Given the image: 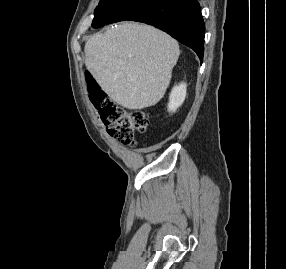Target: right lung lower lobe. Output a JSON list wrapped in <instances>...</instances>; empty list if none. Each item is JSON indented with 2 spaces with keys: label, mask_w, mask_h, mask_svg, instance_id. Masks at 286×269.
Segmentation results:
<instances>
[{
  "label": "right lung lower lobe",
  "mask_w": 286,
  "mask_h": 269,
  "mask_svg": "<svg viewBox=\"0 0 286 269\" xmlns=\"http://www.w3.org/2000/svg\"><path fill=\"white\" fill-rule=\"evenodd\" d=\"M128 20L167 32L193 49L203 61L205 25L197 0H157Z\"/></svg>",
  "instance_id": "98d812e1"
}]
</instances>
